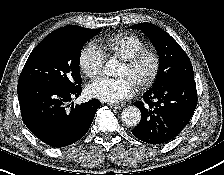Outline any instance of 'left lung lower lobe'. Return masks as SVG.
Returning <instances> with one entry per match:
<instances>
[{"label":"left lung lower lobe","instance_id":"1","mask_svg":"<svg viewBox=\"0 0 224 175\" xmlns=\"http://www.w3.org/2000/svg\"><path fill=\"white\" fill-rule=\"evenodd\" d=\"M137 101L142 118L132 130L139 140L162 144L174 139L188 124L197 105L194 77H180L151 88Z\"/></svg>","mask_w":224,"mask_h":175}]
</instances>
